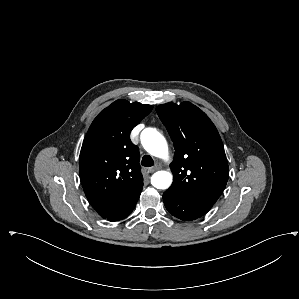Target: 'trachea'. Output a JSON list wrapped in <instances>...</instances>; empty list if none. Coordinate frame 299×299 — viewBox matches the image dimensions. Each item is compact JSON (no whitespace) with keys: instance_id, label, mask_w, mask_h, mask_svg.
Here are the masks:
<instances>
[{"instance_id":"trachea-1","label":"trachea","mask_w":299,"mask_h":299,"mask_svg":"<svg viewBox=\"0 0 299 299\" xmlns=\"http://www.w3.org/2000/svg\"><path fill=\"white\" fill-rule=\"evenodd\" d=\"M141 164L145 167H151L154 165V161L149 155H145L142 158Z\"/></svg>"}]
</instances>
